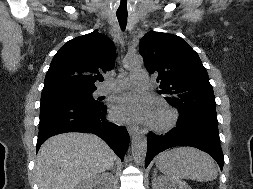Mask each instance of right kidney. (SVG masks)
Listing matches in <instances>:
<instances>
[{
    "instance_id": "1",
    "label": "right kidney",
    "mask_w": 253,
    "mask_h": 189,
    "mask_svg": "<svg viewBox=\"0 0 253 189\" xmlns=\"http://www.w3.org/2000/svg\"><path fill=\"white\" fill-rule=\"evenodd\" d=\"M113 176L110 173H102L82 181L75 189H93L100 186V189H112Z\"/></svg>"
}]
</instances>
